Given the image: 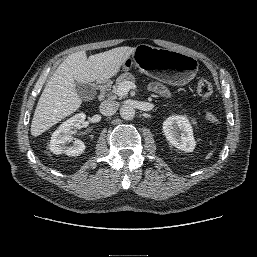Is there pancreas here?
<instances>
[{"label": "pancreas", "mask_w": 257, "mask_h": 257, "mask_svg": "<svg viewBox=\"0 0 257 257\" xmlns=\"http://www.w3.org/2000/svg\"><path fill=\"white\" fill-rule=\"evenodd\" d=\"M125 81H130V82H135V77L132 73L130 72H125L124 74L120 75L117 79H116V84L113 86V90L112 93H114L115 95H118V87L121 83L125 82ZM119 96V95H118Z\"/></svg>", "instance_id": "cf45deb5"}]
</instances>
